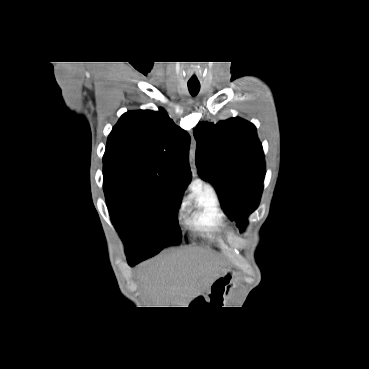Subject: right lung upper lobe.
I'll use <instances>...</instances> for the list:
<instances>
[{"label":"right lung upper lobe","mask_w":369,"mask_h":369,"mask_svg":"<svg viewBox=\"0 0 369 369\" xmlns=\"http://www.w3.org/2000/svg\"><path fill=\"white\" fill-rule=\"evenodd\" d=\"M189 143L187 132L164 109L128 111L108 137L103 174L132 177L139 184L166 191L181 202L191 181Z\"/></svg>","instance_id":"obj_1"}]
</instances>
